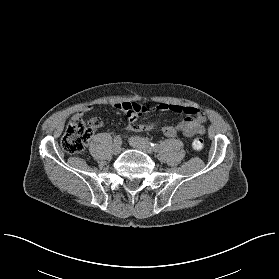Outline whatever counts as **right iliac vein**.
Listing matches in <instances>:
<instances>
[{
    "label": "right iliac vein",
    "mask_w": 279,
    "mask_h": 279,
    "mask_svg": "<svg viewBox=\"0 0 279 279\" xmlns=\"http://www.w3.org/2000/svg\"><path fill=\"white\" fill-rule=\"evenodd\" d=\"M121 152V144H114L112 147V153L117 155Z\"/></svg>",
    "instance_id": "63e3f726"
}]
</instances>
